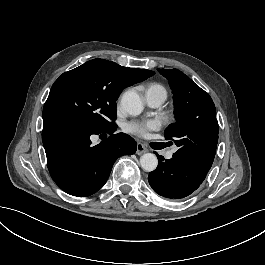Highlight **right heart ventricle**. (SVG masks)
Masks as SVG:
<instances>
[{"label":"right heart ventricle","mask_w":265,"mask_h":265,"mask_svg":"<svg viewBox=\"0 0 265 265\" xmlns=\"http://www.w3.org/2000/svg\"><path fill=\"white\" fill-rule=\"evenodd\" d=\"M157 89L161 93L160 103L164 102L168 97V91L166 87L159 82H149L145 85V96H147L150 89Z\"/></svg>","instance_id":"e07e8e85"}]
</instances>
